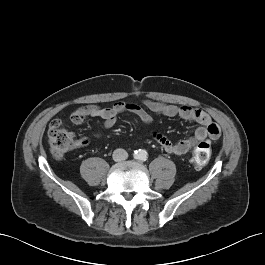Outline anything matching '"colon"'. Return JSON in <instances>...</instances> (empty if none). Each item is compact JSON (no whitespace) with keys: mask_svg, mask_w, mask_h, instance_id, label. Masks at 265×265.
Listing matches in <instances>:
<instances>
[{"mask_svg":"<svg viewBox=\"0 0 265 265\" xmlns=\"http://www.w3.org/2000/svg\"><path fill=\"white\" fill-rule=\"evenodd\" d=\"M48 142L51 154L56 158H62L74 148L77 138L73 132L65 129L60 121H55L48 130ZM210 156V145L200 141L193 150L192 161L196 167H203L208 163Z\"/></svg>","mask_w":265,"mask_h":265,"instance_id":"colon-1","label":"colon"}]
</instances>
